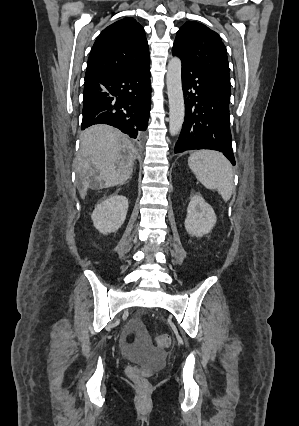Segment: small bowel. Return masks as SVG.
I'll return each instance as SVG.
<instances>
[{
    "mask_svg": "<svg viewBox=\"0 0 299 426\" xmlns=\"http://www.w3.org/2000/svg\"><path fill=\"white\" fill-rule=\"evenodd\" d=\"M133 326H136V322H135V323H133ZM126 348H127V350H128L129 352H133V349H132V347H131V344H130V343H126Z\"/></svg>",
    "mask_w": 299,
    "mask_h": 426,
    "instance_id": "c3829d8e",
    "label": "small bowel"
}]
</instances>
